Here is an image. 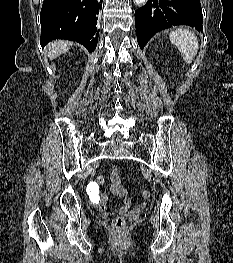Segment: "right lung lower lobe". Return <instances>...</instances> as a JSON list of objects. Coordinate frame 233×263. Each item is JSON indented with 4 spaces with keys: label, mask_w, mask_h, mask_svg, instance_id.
Segmentation results:
<instances>
[{
    "label": "right lung lower lobe",
    "mask_w": 233,
    "mask_h": 263,
    "mask_svg": "<svg viewBox=\"0 0 233 263\" xmlns=\"http://www.w3.org/2000/svg\"><path fill=\"white\" fill-rule=\"evenodd\" d=\"M101 7L102 0H44L40 14L41 46L59 38L76 41L89 52L94 51Z\"/></svg>",
    "instance_id": "right-lung-lower-lobe-1"
}]
</instances>
